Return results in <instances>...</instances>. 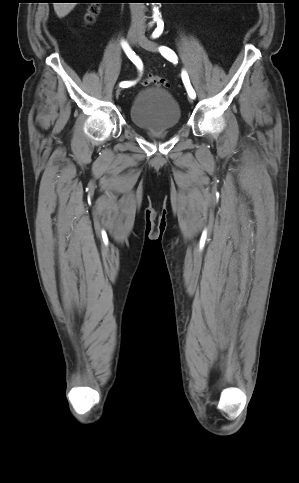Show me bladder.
Here are the masks:
<instances>
[{"label":"bladder","instance_id":"31cf9c89","mask_svg":"<svg viewBox=\"0 0 299 483\" xmlns=\"http://www.w3.org/2000/svg\"><path fill=\"white\" fill-rule=\"evenodd\" d=\"M130 118L135 126L147 131H164L179 124L181 113L178 102L163 87H149L135 96Z\"/></svg>","mask_w":299,"mask_h":483}]
</instances>
